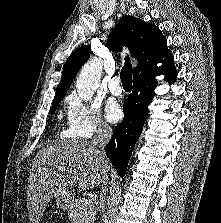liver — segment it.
Returning a JSON list of instances; mask_svg holds the SVG:
<instances>
[{
  "label": "liver",
  "mask_w": 221,
  "mask_h": 223,
  "mask_svg": "<svg viewBox=\"0 0 221 223\" xmlns=\"http://www.w3.org/2000/svg\"><path fill=\"white\" fill-rule=\"evenodd\" d=\"M110 164L90 141L56 140L34 158L28 179L29 223H40L47 203L56 195L78 184L90 190L108 175Z\"/></svg>",
  "instance_id": "6515ba94"
}]
</instances>
